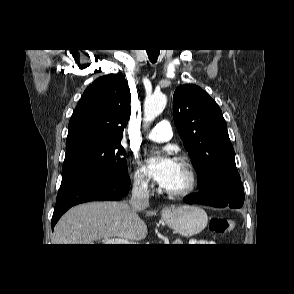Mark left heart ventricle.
Wrapping results in <instances>:
<instances>
[{"mask_svg":"<svg viewBox=\"0 0 294 294\" xmlns=\"http://www.w3.org/2000/svg\"><path fill=\"white\" fill-rule=\"evenodd\" d=\"M186 184L187 175L185 170L176 162L175 168L163 188L168 190H180L183 189Z\"/></svg>","mask_w":294,"mask_h":294,"instance_id":"obj_1","label":"left heart ventricle"}]
</instances>
